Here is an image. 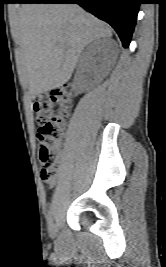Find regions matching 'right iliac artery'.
I'll use <instances>...</instances> for the list:
<instances>
[{
	"instance_id": "1",
	"label": "right iliac artery",
	"mask_w": 166,
	"mask_h": 267,
	"mask_svg": "<svg viewBox=\"0 0 166 267\" xmlns=\"http://www.w3.org/2000/svg\"><path fill=\"white\" fill-rule=\"evenodd\" d=\"M53 216H54V212L53 210L51 209L49 212H48V215H47V222L48 224L50 225L53 221Z\"/></svg>"
}]
</instances>
